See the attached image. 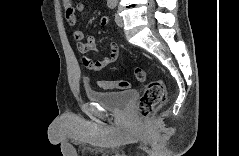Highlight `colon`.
Segmentation results:
<instances>
[{
	"mask_svg": "<svg viewBox=\"0 0 239 156\" xmlns=\"http://www.w3.org/2000/svg\"><path fill=\"white\" fill-rule=\"evenodd\" d=\"M135 76L139 82L147 80V73L141 67L135 68ZM99 86L105 90L127 89L128 81H100ZM166 100V85L162 79H155L148 83L143 95L138 102V111L141 117L151 116Z\"/></svg>",
	"mask_w": 239,
	"mask_h": 156,
	"instance_id": "1",
	"label": "colon"
}]
</instances>
